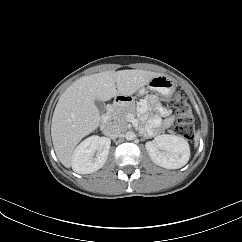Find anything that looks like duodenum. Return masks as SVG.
I'll return each instance as SVG.
<instances>
[{
    "label": "duodenum",
    "instance_id": "1",
    "mask_svg": "<svg viewBox=\"0 0 242 242\" xmlns=\"http://www.w3.org/2000/svg\"><path fill=\"white\" fill-rule=\"evenodd\" d=\"M120 100L121 98L117 97L107 105L106 112L103 115L102 122H101V128L105 133H109L110 131V127H109L110 114L113 111L114 107L120 102Z\"/></svg>",
    "mask_w": 242,
    "mask_h": 242
}]
</instances>
